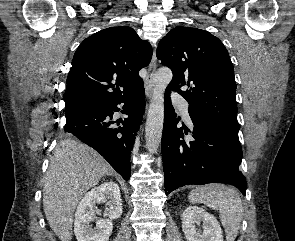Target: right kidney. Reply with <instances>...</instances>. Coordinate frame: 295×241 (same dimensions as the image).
<instances>
[{
  "label": "right kidney",
  "mask_w": 295,
  "mask_h": 241,
  "mask_svg": "<svg viewBox=\"0 0 295 241\" xmlns=\"http://www.w3.org/2000/svg\"><path fill=\"white\" fill-rule=\"evenodd\" d=\"M107 203L106 219H98L96 228L90 223L96 218L94 206L96 203ZM122 214V200L119 186L115 182H105L85 194L79 203L74 221V232L78 241H109L112 233V221Z\"/></svg>",
  "instance_id": "1"
}]
</instances>
